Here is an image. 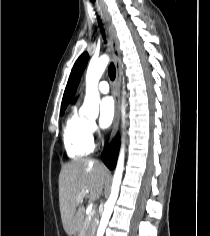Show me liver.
I'll return each instance as SVG.
<instances>
[{
	"label": "liver",
	"instance_id": "liver-1",
	"mask_svg": "<svg viewBox=\"0 0 210 236\" xmlns=\"http://www.w3.org/2000/svg\"><path fill=\"white\" fill-rule=\"evenodd\" d=\"M108 176V170L91 159H76L62 166L59 202L63 228L68 236L81 231L84 220L83 199H98Z\"/></svg>",
	"mask_w": 210,
	"mask_h": 236
}]
</instances>
